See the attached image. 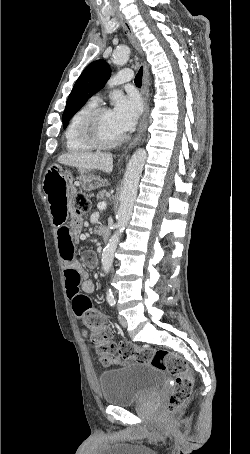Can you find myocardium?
I'll return each instance as SVG.
<instances>
[{
  "instance_id": "f54148a6",
  "label": "myocardium",
  "mask_w": 250,
  "mask_h": 454,
  "mask_svg": "<svg viewBox=\"0 0 250 454\" xmlns=\"http://www.w3.org/2000/svg\"><path fill=\"white\" fill-rule=\"evenodd\" d=\"M110 111L109 108L100 106L90 111L83 119L81 124V138L85 143L90 145L92 148L97 149H109L118 146L125 140V136L114 139L104 140L99 133V120L100 117Z\"/></svg>"
}]
</instances>
